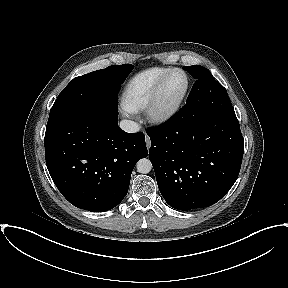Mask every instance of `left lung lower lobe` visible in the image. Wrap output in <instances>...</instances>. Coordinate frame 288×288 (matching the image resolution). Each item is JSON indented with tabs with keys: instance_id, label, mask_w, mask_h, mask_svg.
I'll use <instances>...</instances> for the list:
<instances>
[{
	"instance_id": "left-lung-lower-lobe-1",
	"label": "left lung lower lobe",
	"mask_w": 288,
	"mask_h": 288,
	"mask_svg": "<svg viewBox=\"0 0 288 288\" xmlns=\"http://www.w3.org/2000/svg\"><path fill=\"white\" fill-rule=\"evenodd\" d=\"M146 132L157 184L171 207L211 206L235 183L244 152L237 118L180 110Z\"/></svg>"
}]
</instances>
